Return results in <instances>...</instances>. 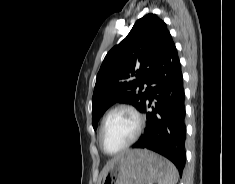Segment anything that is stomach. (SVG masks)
Wrapping results in <instances>:
<instances>
[{
  "label": "stomach",
  "instance_id": "stomach-1",
  "mask_svg": "<svg viewBox=\"0 0 235 184\" xmlns=\"http://www.w3.org/2000/svg\"><path fill=\"white\" fill-rule=\"evenodd\" d=\"M166 160L149 150H131L110 164L102 184H155L165 174Z\"/></svg>",
  "mask_w": 235,
  "mask_h": 184
}]
</instances>
